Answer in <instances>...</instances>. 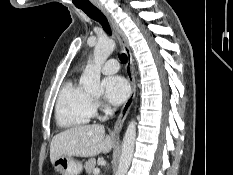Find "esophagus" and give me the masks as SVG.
<instances>
[{
  "label": "esophagus",
  "instance_id": "1",
  "mask_svg": "<svg viewBox=\"0 0 233 175\" xmlns=\"http://www.w3.org/2000/svg\"><path fill=\"white\" fill-rule=\"evenodd\" d=\"M93 4L106 16L108 21L110 22L112 29L119 41V44L122 48V50L126 53L127 55V64H126V74L127 78L129 80V83L131 85V91L130 95L123 105L121 112L115 122L113 132L114 133H119L123 127V124L126 120V117L129 113V110L133 104L134 98H135V93H136V86H135V79H134V72H133V59H132V53L128 44V40L124 34V32L121 30L113 16L107 11V9L97 1H94Z\"/></svg>",
  "mask_w": 233,
  "mask_h": 175
}]
</instances>
